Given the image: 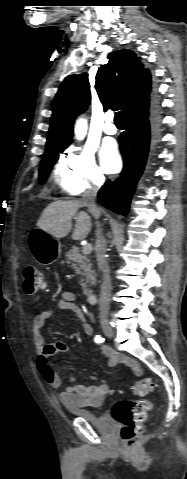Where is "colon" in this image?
I'll list each match as a JSON object with an SVG mask.
<instances>
[{"label":"colon","instance_id":"obj_1","mask_svg":"<svg viewBox=\"0 0 187 479\" xmlns=\"http://www.w3.org/2000/svg\"><path fill=\"white\" fill-rule=\"evenodd\" d=\"M23 289L27 294H35L45 287V276L34 266L23 270ZM156 384L151 378H143L137 382L134 391L139 395L153 392ZM152 404L147 400H118L111 411L112 417L121 425V438L128 445H133L142 434V426Z\"/></svg>","mask_w":187,"mask_h":479}]
</instances>
